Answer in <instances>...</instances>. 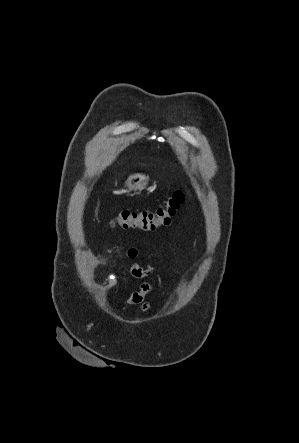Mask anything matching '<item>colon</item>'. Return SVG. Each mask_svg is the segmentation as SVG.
<instances>
[{"label":"colon","mask_w":299,"mask_h":443,"mask_svg":"<svg viewBox=\"0 0 299 443\" xmlns=\"http://www.w3.org/2000/svg\"><path fill=\"white\" fill-rule=\"evenodd\" d=\"M185 200V193L178 189L173 191L157 209L153 211L123 210L116 215L111 224L124 229L154 231L159 227L169 225Z\"/></svg>","instance_id":"obj_1"}]
</instances>
